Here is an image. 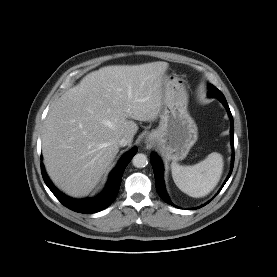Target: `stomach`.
<instances>
[{
    "label": "stomach",
    "instance_id": "1",
    "mask_svg": "<svg viewBox=\"0 0 277 277\" xmlns=\"http://www.w3.org/2000/svg\"><path fill=\"white\" fill-rule=\"evenodd\" d=\"M166 103L160 114L159 126L146 136L168 160L184 159L198 138V129L187 111L188 96L184 80L176 75L164 76Z\"/></svg>",
    "mask_w": 277,
    "mask_h": 277
}]
</instances>
